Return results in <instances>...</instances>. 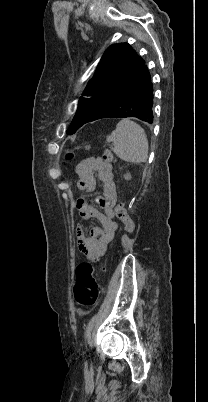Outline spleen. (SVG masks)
Returning a JSON list of instances; mask_svg holds the SVG:
<instances>
[{
    "label": "spleen",
    "mask_w": 208,
    "mask_h": 402,
    "mask_svg": "<svg viewBox=\"0 0 208 402\" xmlns=\"http://www.w3.org/2000/svg\"><path fill=\"white\" fill-rule=\"evenodd\" d=\"M106 142H112V152L124 162L133 164L147 162L149 150L147 136L143 128L131 122L130 118H123L117 124L116 130L107 136Z\"/></svg>",
    "instance_id": "1"
}]
</instances>
